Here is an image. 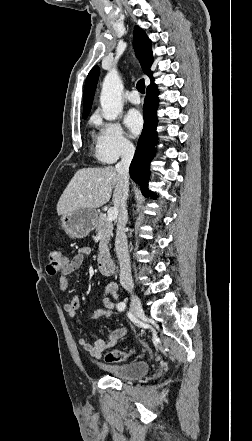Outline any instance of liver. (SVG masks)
<instances>
[{
  "label": "liver",
  "instance_id": "6515ba94",
  "mask_svg": "<svg viewBox=\"0 0 252 441\" xmlns=\"http://www.w3.org/2000/svg\"><path fill=\"white\" fill-rule=\"evenodd\" d=\"M113 193L114 207L119 210L122 197V183L114 167L79 169L63 191L57 203L59 215L78 209H95L106 204Z\"/></svg>",
  "mask_w": 252,
  "mask_h": 441
}]
</instances>
